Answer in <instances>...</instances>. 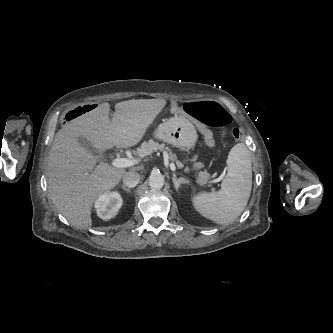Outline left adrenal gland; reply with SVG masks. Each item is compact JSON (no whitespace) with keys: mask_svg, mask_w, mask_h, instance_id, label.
<instances>
[{"mask_svg":"<svg viewBox=\"0 0 333 333\" xmlns=\"http://www.w3.org/2000/svg\"><path fill=\"white\" fill-rule=\"evenodd\" d=\"M172 181L176 190H178L181 184H189V181L187 179L182 177L177 178L175 174H173Z\"/></svg>","mask_w":333,"mask_h":333,"instance_id":"1","label":"left adrenal gland"}]
</instances>
